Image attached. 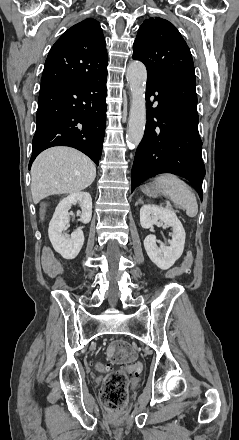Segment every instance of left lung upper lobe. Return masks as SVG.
Returning <instances> with one entry per match:
<instances>
[{"instance_id": "left-lung-upper-lobe-1", "label": "left lung upper lobe", "mask_w": 239, "mask_h": 440, "mask_svg": "<svg viewBox=\"0 0 239 440\" xmlns=\"http://www.w3.org/2000/svg\"><path fill=\"white\" fill-rule=\"evenodd\" d=\"M133 59L142 61L147 76L195 78L191 52L176 27L162 18H149L138 30Z\"/></svg>"}]
</instances>
